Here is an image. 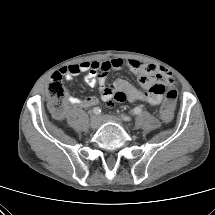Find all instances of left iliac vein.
<instances>
[{"mask_svg":"<svg viewBox=\"0 0 215 215\" xmlns=\"http://www.w3.org/2000/svg\"><path fill=\"white\" fill-rule=\"evenodd\" d=\"M100 120L103 122H115L118 124H122V120L118 118L117 116H112V115H102L100 117Z\"/></svg>","mask_w":215,"mask_h":215,"instance_id":"4c4485c4","label":"left iliac vein"}]
</instances>
